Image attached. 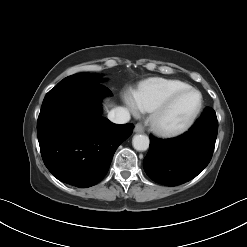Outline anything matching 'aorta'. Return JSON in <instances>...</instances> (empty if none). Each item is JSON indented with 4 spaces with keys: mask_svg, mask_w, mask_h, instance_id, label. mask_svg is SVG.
<instances>
[{
    "mask_svg": "<svg viewBox=\"0 0 247 247\" xmlns=\"http://www.w3.org/2000/svg\"><path fill=\"white\" fill-rule=\"evenodd\" d=\"M132 145L137 151H146L149 148V138L143 134L134 135Z\"/></svg>",
    "mask_w": 247,
    "mask_h": 247,
    "instance_id": "1",
    "label": "aorta"
}]
</instances>
